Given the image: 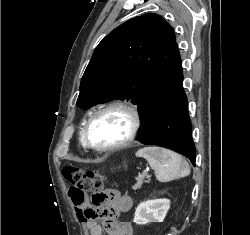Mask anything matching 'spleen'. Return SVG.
Segmentation results:
<instances>
[{"label":"spleen","instance_id":"1","mask_svg":"<svg viewBox=\"0 0 250 235\" xmlns=\"http://www.w3.org/2000/svg\"><path fill=\"white\" fill-rule=\"evenodd\" d=\"M147 160L160 182H168L190 174L189 164L177 153L159 147H145L136 152Z\"/></svg>","mask_w":250,"mask_h":235}]
</instances>
